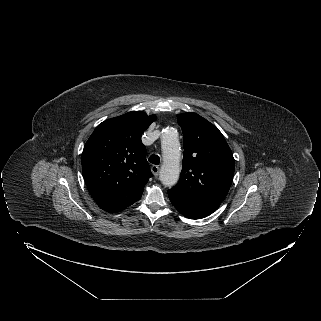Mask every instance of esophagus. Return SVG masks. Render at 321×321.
Listing matches in <instances>:
<instances>
[{
    "label": "esophagus",
    "mask_w": 321,
    "mask_h": 321,
    "mask_svg": "<svg viewBox=\"0 0 321 321\" xmlns=\"http://www.w3.org/2000/svg\"><path fill=\"white\" fill-rule=\"evenodd\" d=\"M151 171L154 174V176L157 177L159 175V172H160V167L158 165H153L151 167Z\"/></svg>",
    "instance_id": "34e87169"
}]
</instances>
